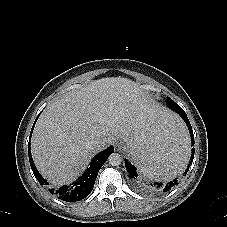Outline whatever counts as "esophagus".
Returning a JSON list of instances; mask_svg holds the SVG:
<instances>
[{
	"label": "esophagus",
	"mask_w": 227,
	"mask_h": 227,
	"mask_svg": "<svg viewBox=\"0 0 227 227\" xmlns=\"http://www.w3.org/2000/svg\"><path fill=\"white\" fill-rule=\"evenodd\" d=\"M121 147H122V144L119 143V142H116L115 145H114V148H115V150H117V151H119V150L121 149Z\"/></svg>",
	"instance_id": "obj_1"
}]
</instances>
